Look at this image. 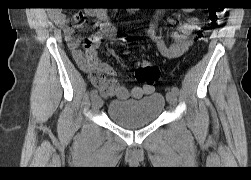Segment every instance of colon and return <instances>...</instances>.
Wrapping results in <instances>:
<instances>
[{
    "mask_svg": "<svg viewBox=\"0 0 251 180\" xmlns=\"http://www.w3.org/2000/svg\"><path fill=\"white\" fill-rule=\"evenodd\" d=\"M225 10L214 8L209 11V25L217 26L223 23ZM160 77L159 69L148 61L139 62L135 69V78L144 85H154Z\"/></svg>",
    "mask_w": 251,
    "mask_h": 180,
    "instance_id": "5ec220e1",
    "label": "colon"
}]
</instances>
